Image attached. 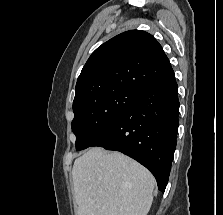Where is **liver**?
Masks as SVG:
<instances>
[{
  "instance_id": "obj_1",
  "label": "liver",
  "mask_w": 223,
  "mask_h": 215,
  "mask_svg": "<svg viewBox=\"0 0 223 215\" xmlns=\"http://www.w3.org/2000/svg\"><path fill=\"white\" fill-rule=\"evenodd\" d=\"M77 215H146L155 177L120 151L91 147L72 169Z\"/></svg>"
}]
</instances>
